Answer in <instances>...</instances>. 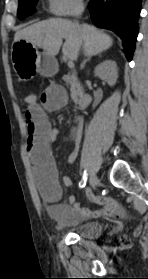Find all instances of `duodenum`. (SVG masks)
<instances>
[{"label":"duodenum","instance_id":"obj_1","mask_svg":"<svg viewBox=\"0 0 148 279\" xmlns=\"http://www.w3.org/2000/svg\"><path fill=\"white\" fill-rule=\"evenodd\" d=\"M91 102V95L87 92H82L80 94V97L77 101V105L80 107V108H85L87 107Z\"/></svg>","mask_w":148,"mask_h":279}]
</instances>
